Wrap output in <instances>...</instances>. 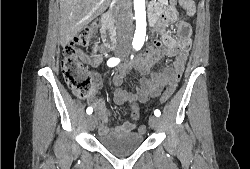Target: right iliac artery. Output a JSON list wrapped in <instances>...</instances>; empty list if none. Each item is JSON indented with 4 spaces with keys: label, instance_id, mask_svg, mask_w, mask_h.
I'll return each mask as SVG.
<instances>
[{
    "label": "right iliac artery",
    "instance_id": "1",
    "mask_svg": "<svg viewBox=\"0 0 250 169\" xmlns=\"http://www.w3.org/2000/svg\"><path fill=\"white\" fill-rule=\"evenodd\" d=\"M120 62V59L119 58H110L108 61H107V65L109 67H114L116 66L118 63ZM87 114H92L93 112V109L92 107H88L87 110H86Z\"/></svg>",
    "mask_w": 250,
    "mask_h": 169
}]
</instances>
